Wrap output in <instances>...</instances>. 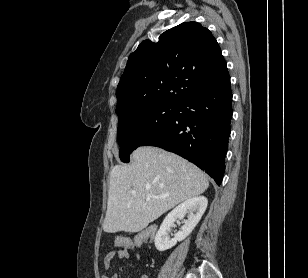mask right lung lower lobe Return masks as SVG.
Returning <instances> with one entry per match:
<instances>
[{
    "mask_svg": "<svg viewBox=\"0 0 308 278\" xmlns=\"http://www.w3.org/2000/svg\"><path fill=\"white\" fill-rule=\"evenodd\" d=\"M230 78L178 104L174 120L140 146L174 152L208 173L220 185L230 135Z\"/></svg>",
    "mask_w": 308,
    "mask_h": 278,
    "instance_id": "right-lung-lower-lobe-1",
    "label": "right lung lower lobe"
}]
</instances>
